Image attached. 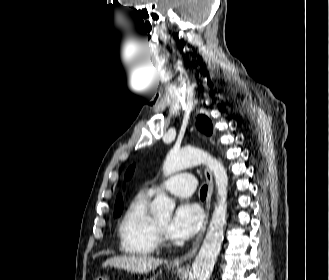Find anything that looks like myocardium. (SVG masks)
Instances as JSON below:
<instances>
[{"instance_id": "obj_1", "label": "myocardium", "mask_w": 329, "mask_h": 280, "mask_svg": "<svg viewBox=\"0 0 329 280\" xmlns=\"http://www.w3.org/2000/svg\"><path fill=\"white\" fill-rule=\"evenodd\" d=\"M155 228L158 242H168L166 229L157 220H155Z\"/></svg>"}]
</instances>
